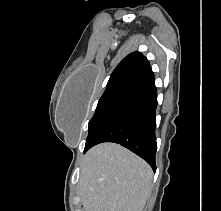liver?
<instances>
[{"mask_svg": "<svg viewBox=\"0 0 221 211\" xmlns=\"http://www.w3.org/2000/svg\"><path fill=\"white\" fill-rule=\"evenodd\" d=\"M153 172L140 157L115 143H102L84 156L80 196L84 211H143Z\"/></svg>", "mask_w": 221, "mask_h": 211, "instance_id": "liver-1", "label": "liver"}]
</instances>
